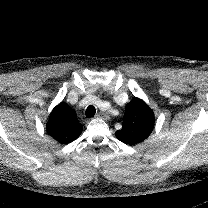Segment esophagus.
<instances>
[{
	"instance_id": "obj_1",
	"label": "esophagus",
	"mask_w": 208,
	"mask_h": 208,
	"mask_svg": "<svg viewBox=\"0 0 208 208\" xmlns=\"http://www.w3.org/2000/svg\"><path fill=\"white\" fill-rule=\"evenodd\" d=\"M96 118H97V119H104V120H107V119H109V116H108L106 113H104V112H100V113H98V114L96 115Z\"/></svg>"
}]
</instances>
